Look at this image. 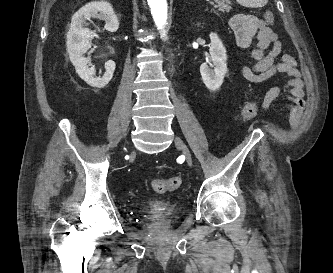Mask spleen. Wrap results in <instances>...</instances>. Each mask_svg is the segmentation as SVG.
<instances>
[{"instance_id": "obj_1", "label": "spleen", "mask_w": 333, "mask_h": 273, "mask_svg": "<svg viewBox=\"0 0 333 273\" xmlns=\"http://www.w3.org/2000/svg\"><path fill=\"white\" fill-rule=\"evenodd\" d=\"M238 4L245 6V7H251V8H258L266 5L268 0H236Z\"/></svg>"}]
</instances>
